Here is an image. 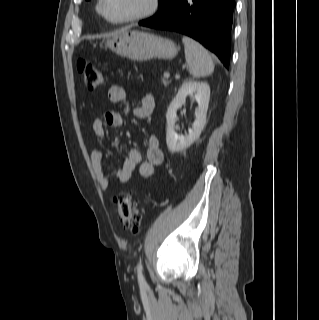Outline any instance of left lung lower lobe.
<instances>
[{
  "instance_id": "1",
  "label": "left lung lower lobe",
  "mask_w": 319,
  "mask_h": 320,
  "mask_svg": "<svg viewBox=\"0 0 319 320\" xmlns=\"http://www.w3.org/2000/svg\"><path fill=\"white\" fill-rule=\"evenodd\" d=\"M235 0H164L157 14L139 25L194 38L229 68Z\"/></svg>"
}]
</instances>
